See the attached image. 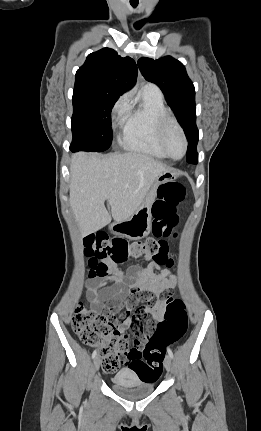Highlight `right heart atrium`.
Returning <instances> with one entry per match:
<instances>
[{
	"label": "right heart atrium",
	"instance_id": "1",
	"mask_svg": "<svg viewBox=\"0 0 261 431\" xmlns=\"http://www.w3.org/2000/svg\"><path fill=\"white\" fill-rule=\"evenodd\" d=\"M128 108L129 96L124 94L115 102L112 108V121L114 124L122 123Z\"/></svg>",
	"mask_w": 261,
	"mask_h": 431
}]
</instances>
